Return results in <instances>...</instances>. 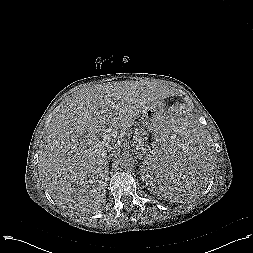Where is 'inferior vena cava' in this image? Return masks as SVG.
I'll use <instances>...</instances> for the list:
<instances>
[{"label":"inferior vena cava","instance_id":"602c4592","mask_svg":"<svg viewBox=\"0 0 253 253\" xmlns=\"http://www.w3.org/2000/svg\"><path fill=\"white\" fill-rule=\"evenodd\" d=\"M110 150H112V152H115V151H114V148H112V149H110ZM111 155H113V154H111ZM111 155H109V156H107V157L109 158V157H111Z\"/></svg>","mask_w":253,"mask_h":253}]
</instances>
